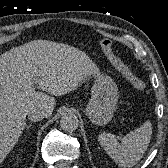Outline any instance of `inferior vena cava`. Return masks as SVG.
Returning <instances> with one entry per match:
<instances>
[{
  "label": "inferior vena cava",
  "instance_id": "1",
  "mask_svg": "<svg viewBox=\"0 0 168 168\" xmlns=\"http://www.w3.org/2000/svg\"><path fill=\"white\" fill-rule=\"evenodd\" d=\"M28 118L31 120V121H40L42 120L43 118H45L47 116V114L43 111V110H40V109H31L29 112H28Z\"/></svg>",
  "mask_w": 168,
  "mask_h": 168
}]
</instances>
